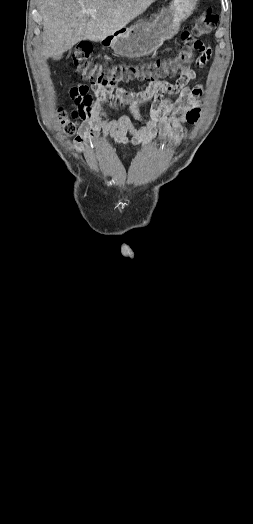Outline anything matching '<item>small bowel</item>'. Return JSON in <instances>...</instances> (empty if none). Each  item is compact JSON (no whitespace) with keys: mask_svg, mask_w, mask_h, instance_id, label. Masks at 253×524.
Here are the masks:
<instances>
[{"mask_svg":"<svg viewBox=\"0 0 253 524\" xmlns=\"http://www.w3.org/2000/svg\"><path fill=\"white\" fill-rule=\"evenodd\" d=\"M181 37L187 44L195 43L192 46L195 55L196 65L205 64L209 58L210 51L214 49L212 44L204 46L200 43L201 38L193 35L189 30H183ZM204 49L208 51L202 52ZM194 72L190 69L182 71L176 84H171L172 80L167 78L165 82L156 80L140 92H129L121 87H113L110 90H93L96 99L91 103V109L84 123L79 128V133L75 139L78 149L85 146H92L100 133L110 137L118 144L126 146H138L147 144L152 138L158 136L161 143H166L169 147L175 148L187 135L186 123L188 113L191 108L198 104L201 89L196 87L186 89L185 86L193 78ZM78 89L70 90L69 95L76 101L89 98V87L78 85ZM166 93H179L175 100L164 97ZM152 100L149 118H144L140 113V106ZM109 103L113 107L127 106L133 117L143 125L139 128L133 126L128 116L119 119H109L103 109V104ZM131 135V138L127 137Z\"/></svg>","mask_w":253,"mask_h":524,"instance_id":"c3829d8e","label":"small bowel"}]
</instances>
